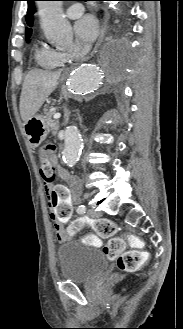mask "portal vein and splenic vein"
<instances>
[{
  "instance_id": "obj_1",
  "label": "portal vein and splenic vein",
  "mask_w": 183,
  "mask_h": 329,
  "mask_svg": "<svg viewBox=\"0 0 183 329\" xmlns=\"http://www.w3.org/2000/svg\"><path fill=\"white\" fill-rule=\"evenodd\" d=\"M60 117H61V114L60 113H56L53 116L54 119H59Z\"/></svg>"
}]
</instances>
